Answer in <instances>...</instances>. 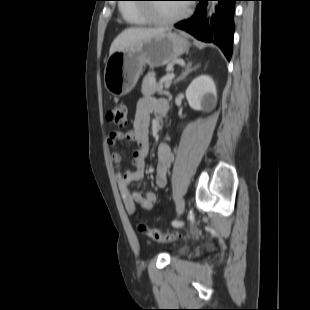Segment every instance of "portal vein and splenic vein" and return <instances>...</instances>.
<instances>
[{
	"mask_svg": "<svg viewBox=\"0 0 310 310\" xmlns=\"http://www.w3.org/2000/svg\"><path fill=\"white\" fill-rule=\"evenodd\" d=\"M175 77V74L173 73H170V74H167L166 76H164L162 79H161V83H164L166 81H171L172 79H174Z\"/></svg>",
	"mask_w": 310,
	"mask_h": 310,
	"instance_id": "obj_1",
	"label": "portal vein and splenic vein"
}]
</instances>
